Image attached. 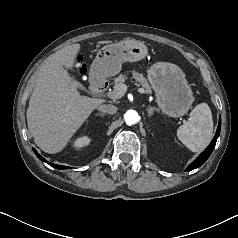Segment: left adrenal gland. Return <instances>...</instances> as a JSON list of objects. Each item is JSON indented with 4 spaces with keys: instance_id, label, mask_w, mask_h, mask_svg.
Listing matches in <instances>:
<instances>
[{
    "instance_id": "1",
    "label": "left adrenal gland",
    "mask_w": 238,
    "mask_h": 238,
    "mask_svg": "<svg viewBox=\"0 0 238 238\" xmlns=\"http://www.w3.org/2000/svg\"><path fill=\"white\" fill-rule=\"evenodd\" d=\"M155 110H157V109L154 108V107H148L147 108V113H148L149 117H151L153 115Z\"/></svg>"
}]
</instances>
